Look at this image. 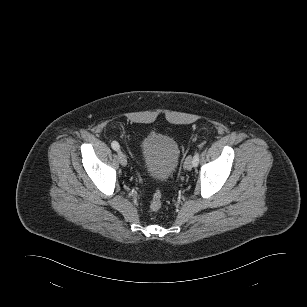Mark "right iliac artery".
Wrapping results in <instances>:
<instances>
[{
    "label": "right iliac artery",
    "instance_id": "right-iliac-artery-1",
    "mask_svg": "<svg viewBox=\"0 0 307 307\" xmlns=\"http://www.w3.org/2000/svg\"><path fill=\"white\" fill-rule=\"evenodd\" d=\"M111 147H112L115 151H118V150L120 149V145H119V143L116 142V141H113V142L111 143Z\"/></svg>",
    "mask_w": 307,
    "mask_h": 307
}]
</instances>
